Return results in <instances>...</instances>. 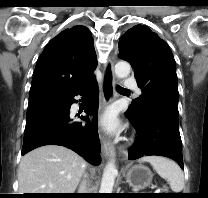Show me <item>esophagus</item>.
Listing matches in <instances>:
<instances>
[{"instance_id": "obj_1", "label": "esophagus", "mask_w": 208, "mask_h": 198, "mask_svg": "<svg viewBox=\"0 0 208 198\" xmlns=\"http://www.w3.org/2000/svg\"><path fill=\"white\" fill-rule=\"evenodd\" d=\"M116 78L114 75V61L110 59L103 69V78L101 82V95L103 107L114 99ZM102 151L106 158L113 157L115 148L111 141L101 135Z\"/></svg>"}]
</instances>
